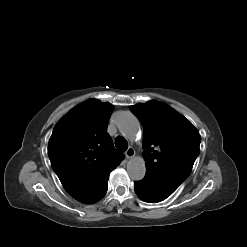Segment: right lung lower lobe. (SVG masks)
<instances>
[{
    "instance_id": "obj_1",
    "label": "right lung lower lobe",
    "mask_w": 247,
    "mask_h": 247,
    "mask_svg": "<svg viewBox=\"0 0 247 247\" xmlns=\"http://www.w3.org/2000/svg\"><path fill=\"white\" fill-rule=\"evenodd\" d=\"M107 181L108 179L104 181L93 194H91L87 199H85L82 202L91 204V203L97 202L100 199H102L105 196L107 189H108Z\"/></svg>"
}]
</instances>
